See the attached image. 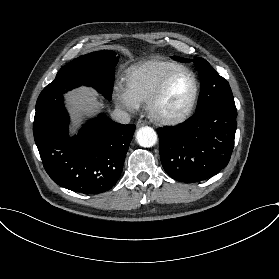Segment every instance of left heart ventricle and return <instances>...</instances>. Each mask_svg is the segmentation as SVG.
Here are the masks:
<instances>
[{
	"instance_id": "obj_1",
	"label": "left heart ventricle",
	"mask_w": 279,
	"mask_h": 279,
	"mask_svg": "<svg viewBox=\"0 0 279 279\" xmlns=\"http://www.w3.org/2000/svg\"><path fill=\"white\" fill-rule=\"evenodd\" d=\"M193 88V79L189 74L179 75L170 84L160 103V111L169 116L178 114L190 100Z\"/></svg>"
}]
</instances>
